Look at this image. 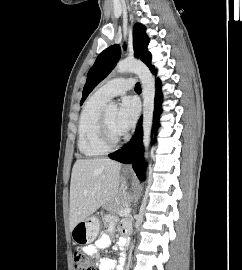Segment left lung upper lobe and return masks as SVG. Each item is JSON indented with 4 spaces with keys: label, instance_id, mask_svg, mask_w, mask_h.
<instances>
[{
    "label": "left lung upper lobe",
    "instance_id": "obj_1",
    "mask_svg": "<svg viewBox=\"0 0 242 270\" xmlns=\"http://www.w3.org/2000/svg\"><path fill=\"white\" fill-rule=\"evenodd\" d=\"M149 38L146 35V28L137 23L133 29V48L135 57L140 58L150 69L151 54L147 50ZM121 55V48L119 45H113L105 49L99 54L94 65L88 72L86 84L83 88V96L81 104L87 98L93 88L102 81L114 68Z\"/></svg>",
    "mask_w": 242,
    "mask_h": 270
}]
</instances>
